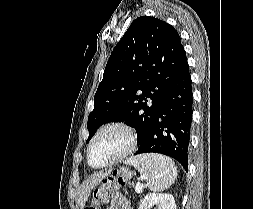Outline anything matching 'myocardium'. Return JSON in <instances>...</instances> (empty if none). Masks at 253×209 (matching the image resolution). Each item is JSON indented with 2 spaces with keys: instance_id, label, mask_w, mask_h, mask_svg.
<instances>
[{
  "instance_id": "obj_1",
  "label": "myocardium",
  "mask_w": 253,
  "mask_h": 209,
  "mask_svg": "<svg viewBox=\"0 0 253 209\" xmlns=\"http://www.w3.org/2000/svg\"><path fill=\"white\" fill-rule=\"evenodd\" d=\"M110 128L122 129L127 135V145L124 148V150H122L117 156H115L114 158H112L108 162L101 164V165H94L91 162V149H92L93 143L100 136V134H102L105 130L110 129ZM136 144H137L136 131L130 123H128L127 121H124V120H113V121L107 122L96 131V133L94 134V136L90 140L88 148H87V162H88L89 166L94 169H101V168L110 166L116 162L121 161L123 158L128 156L135 149Z\"/></svg>"
}]
</instances>
